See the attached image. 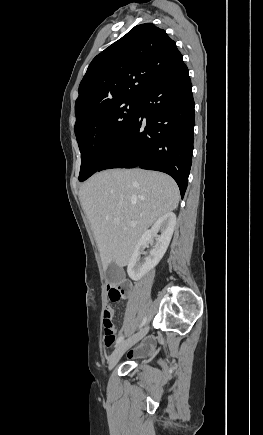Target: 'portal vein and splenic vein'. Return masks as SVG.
Listing matches in <instances>:
<instances>
[{
	"label": "portal vein and splenic vein",
	"instance_id": "portal-vein-and-splenic-vein-1",
	"mask_svg": "<svg viewBox=\"0 0 263 435\" xmlns=\"http://www.w3.org/2000/svg\"><path fill=\"white\" fill-rule=\"evenodd\" d=\"M113 222H114L115 224H119V223H120V221H119L118 219H114ZM129 225L134 226L135 223L131 222V223H129Z\"/></svg>",
	"mask_w": 263,
	"mask_h": 435
}]
</instances>
